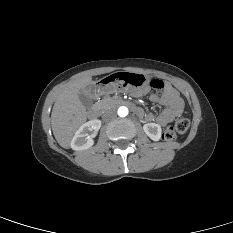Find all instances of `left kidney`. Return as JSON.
I'll return each instance as SVG.
<instances>
[{"instance_id": "1", "label": "left kidney", "mask_w": 233, "mask_h": 233, "mask_svg": "<svg viewBox=\"0 0 233 233\" xmlns=\"http://www.w3.org/2000/svg\"><path fill=\"white\" fill-rule=\"evenodd\" d=\"M144 132L153 141H159L161 138V126L156 123H147L143 126Z\"/></svg>"}]
</instances>
